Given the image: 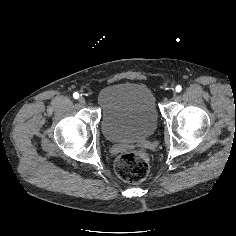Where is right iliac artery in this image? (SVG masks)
<instances>
[{
  "instance_id": "obj_1",
  "label": "right iliac artery",
  "mask_w": 236,
  "mask_h": 236,
  "mask_svg": "<svg viewBox=\"0 0 236 236\" xmlns=\"http://www.w3.org/2000/svg\"><path fill=\"white\" fill-rule=\"evenodd\" d=\"M73 97H74L75 99H78V98H79V93H78V92H75V93L73 94Z\"/></svg>"
}]
</instances>
